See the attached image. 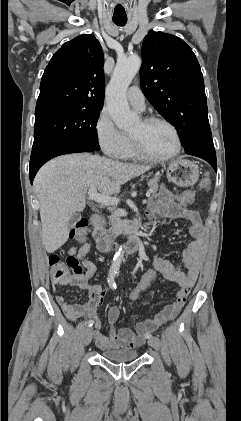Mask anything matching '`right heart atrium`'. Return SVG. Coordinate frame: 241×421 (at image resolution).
<instances>
[{"instance_id": "d8ad5b80", "label": "right heart atrium", "mask_w": 241, "mask_h": 421, "mask_svg": "<svg viewBox=\"0 0 241 421\" xmlns=\"http://www.w3.org/2000/svg\"><path fill=\"white\" fill-rule=\"evenodd\" d=\"M95 133L102 151L110 157L119 158L126 143V136L116 127L106 110L101 111L96 120Z\"/></svg>"}]
</instances>
